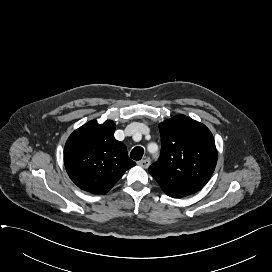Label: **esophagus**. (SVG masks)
<instances>
[{"instance_id": "esophagus-1", "label": "esophagus", "mask_w": 272, "mask_h": 272, "mask_svg": "<svg viewBox=\"0 0 272 272\" xmlns=\"http://www.w3.org/2000/svg\"><path fill=\"white\" fill-rule=\"evenodd\" d=\"M137 164L143 168H148L150 165V159H148V158L142 159V160L138 161Z\"/></svg>"}]
</instances>
